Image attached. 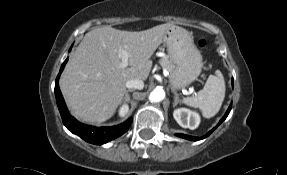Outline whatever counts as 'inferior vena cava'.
Listing matches in <instances>:
<instances>
[{"mask_svg":"<svg viewBox=\"0 0 287 175\" xmlns=\"http://www.w3.org/2000/svg\"><path fill=\"white\" fill-rule=\"evenodd\" d=\"M126 87L129 89L134 88V89L141 90L144 87V83L140 79H131L126 82Z\"/></svg>","mask_w":287,"mask_h":175,"instance_id":"inferior-vena-cava-1","label":"inferior vena cava"}]
</instances>
